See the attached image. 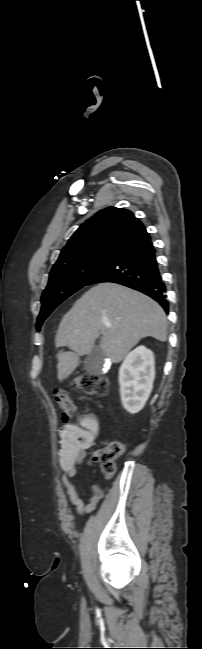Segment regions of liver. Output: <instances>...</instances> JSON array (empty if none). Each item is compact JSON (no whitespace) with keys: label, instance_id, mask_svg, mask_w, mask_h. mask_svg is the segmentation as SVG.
Listing matches in <instances>:
<instances>
[{"label":"liver","instance_id":"6515ba94","mask_svg":"<svg viewBox=\"0 0 202 649\" xmlns=\"http://www.w3.org/2000/svg\"><path fill=\"white\" fill-rule=\"evenodd\" d=\"M102 335L100 348L111 362H120L140 339L167 340V319L153 299L116 283H100L88 290L62 318L56 347L71 351L57 354L58 380L66 379Z\"/></svg>","mask_w":202,"mask_h":649}]
</instances>
